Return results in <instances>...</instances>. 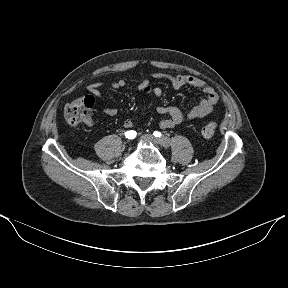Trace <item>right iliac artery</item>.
Returning a JSON list of instances; mask_svg holds the SVG:
<instances>
[{
	"instance_id": "right-iliac-artery-1",
	"label": "right iliac artery",
	"mask_w": 288,
	"mask_h": 288,
	"mask_svg": "<svg viewBox=\"0 0 288 288\" xmlns=\"http://www.w3.org/2000/svg\"><path fill=\"white\" fill-rule=\"evenodd\" d=\"M137 133L134 130H129L127 132H125V136L128 139H134L136 137Z\"/></svg>"
}]
</instances>
